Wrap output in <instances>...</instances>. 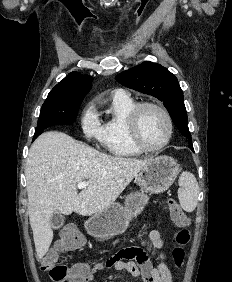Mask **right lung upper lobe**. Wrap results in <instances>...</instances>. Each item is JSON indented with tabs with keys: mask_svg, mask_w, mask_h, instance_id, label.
<instances>
[{
	"mask_svg": "<svg viewBox=\"0 0 232 282\" xmlns=\"http://www.w3.org/2000/svg\"><path fill=\"white\" fill-rule=\"evenodd\" d=\"M91 81L88 75L72 72L51 90L47 99L84 97L92 87Z\"/></svg>",
	"mask_w": 232,
	"mask_h": 282,
	"instance_id": "right-lung-upper-lobe-1",
	"label": "right lung upper lobe"
}]
</instances>
